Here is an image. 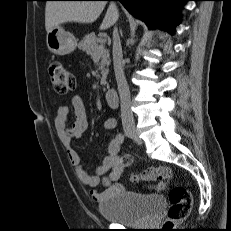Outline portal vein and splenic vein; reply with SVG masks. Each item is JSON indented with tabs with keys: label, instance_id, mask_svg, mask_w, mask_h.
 Segmentation results:
<instances>
[{
	"label": "portal vein and splenic vein",
	"instance_id": "obj_1",
	"mask_svg": "<svg viewBox=\"0 0 231 231\" xmlns=\"http://www.w3.org/2000/svg\"><path fill=\"white\" fill-rule=\"evenodd\" d=\"M103 48H104V45H103V44H101V45H100V47H99V50H102ZM94 56H99V54L97 53V54H96V55H94ZM94 56H93V57H94Z\"/></svg>",
	"mask_w": 231,
	"mask_h": 231
}]
</instances>
